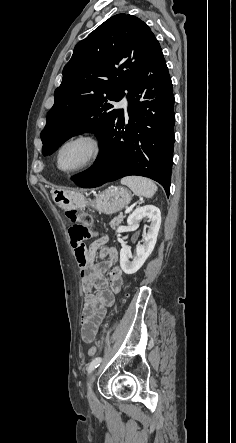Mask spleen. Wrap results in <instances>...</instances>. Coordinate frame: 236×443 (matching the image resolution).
<instances>
[{
  "label": "spleen",
  "instance_id": "spleen-1",
  "mask_svg": "<svg viewBox=\"0 0 236 443\" xmlns=\"http://www.w3.org/2000/svg\"><path fill=\"white\" fill-rule=\"evenodd\" d=\"M121 184L128 186L135 195L152 198L157 192L156 184L145 177L127 176L121 179Z\"/></svg>",
  "mask_w": 236,
  "mask_h": 443
}]
</instances>
